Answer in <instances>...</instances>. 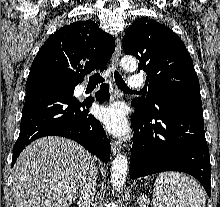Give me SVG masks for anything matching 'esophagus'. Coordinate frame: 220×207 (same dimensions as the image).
Masks as SVG:
<instances>
[{
  "label": "esophagus",
  "instance_id": "34e87169",
  "mask_svg": "<svg viewBox=\"0 0 220 207\" xmlns=\"http://www.w3.org/2000/svg\"><path fill=\"white\" fill-rule=\"evenodd\" d=\"M121 50H122L121 40L119 38H117L115 51L112 56V65L115 68H118ZM111 151H112L113 156H115L117 153H119L120 148H119V145L117 142H115V141L111 142Z\"/></svg>",
  "mask_w": 220,
  "mask_h": 207
}]
</instances>
